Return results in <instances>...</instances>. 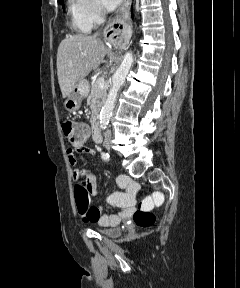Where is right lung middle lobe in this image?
<instances>
[{
    "instance_id": "obj_1",
    "label": "right lung middle lobe",
    "mask_w": 240,
    "mask_h": 288,
    "mask_svg": "<svg viewBox=\"0 0 240 288\" xmlns=\"http://www.w3.org/2000/svg\"><path fill=\"white\" fill-rule=\"evenodd\" d=\"M59 1H62V2H64V0H59ZM63 7H64V4H63Z\"/></svg>"
}]
</instances>
